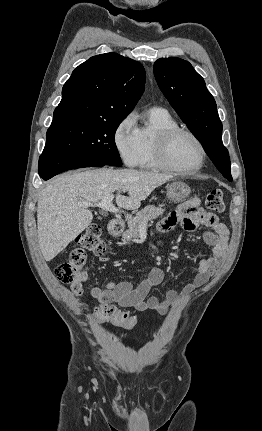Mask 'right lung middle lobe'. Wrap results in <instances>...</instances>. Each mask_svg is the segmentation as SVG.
I'll return each mask as SVG.
<instances>
[{"label": "right lung middle lobe", "mask_w": 262, "mask_h": 431, "mask_svg": "<svg viewBox=\"0 0 262 431\" xmlns=\"http://www.w3.org/2000/svg\"><path fill=\"white\" fill-rule=\"evenodd\" d=\"M124 120L83 119L51 125L43 155H68L121 166L115 131Z\"/></svg>", "instance_id": "dd1d6c3e"}]
</instances>
